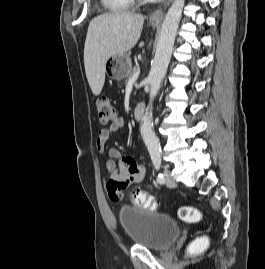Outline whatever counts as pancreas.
<instances>
[{"instance_id":"1","label":"pancreas","mask_w":265,"mask_h":269,"mask_svg":"<svg viewBox=\"0 0 265 269\" xmlns=\"http://www.w3.org/2000/svg\"><path fill=\"white\" fill-rule=\"evenodd\" d=\"M138 71L137 67H134L133 70L130 72V74L127 76V80L129 81L130 78L133 76L134 73H136Z\"/></svg>"}]
</instances>
